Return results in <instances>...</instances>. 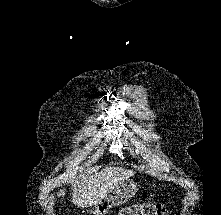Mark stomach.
Listing matches in <instances>:
<instances>
[{"label":"stomach","instance_id":"obj_1","mask_svg":"<svg viewBox=\"0 0 221 215\" xmlns=\"http://www.w3.org/2000/svg\"><path fill=\"white\" fill-rule=\"evenodd\" d=\"M135 182L126 179L115 185L107 195L91 210L93 215H106L113 206H118L129 201L137 192Z\"/></svg>","mask_w":221,"mask_h":215}]
</instances>
